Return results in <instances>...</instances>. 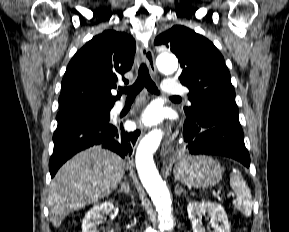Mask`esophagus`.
I'll return each mask as SVG.
<instances>
[{"mask_svg":"<svg viewBox=\"0 0 289 232\" xmlns=\"http://www.w3.org/2000/svg\"><path fill=\"white\" fill-rule=\"evenodd\" d=\"M140 53H141V57L143 58V60L147 63L150 69V72L153 75H156L157 70H156L155 59H154V54L152 50L147 46H142L140 49ZM170 132H171V128L169 127L167 129L166 135L169 136ZM169 147H170V141L166 139L162 145L161 152H160L162 156H164L167 153V150Z\"/></svg>","mask_w":289,"mask_h":232,"instance_id":"1","label":"esophagus"}]
</instances>
